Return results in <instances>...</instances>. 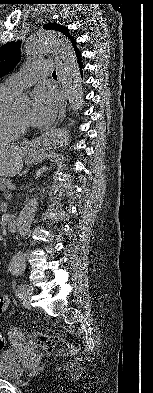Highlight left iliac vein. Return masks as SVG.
<instances>
[{
	"label": "left iliac vein",
	"mask_w": 153,
	"mask_h": 393,
	"mask_svg": "<svg viewBox=\"0 0 153 393\" xmlns=\"http://www.w3.org/2000/svg\"><path fill=\"white\" fill-rule=\"evenodd\" d=\"M32 292H33V288L31 286H27V288L23 292L22 301H23V306L25 308H28V309L31 308L30 297L32 295Z\"/></svg>",
	"instance_id": "4c4485c4"
}]
</instances>
